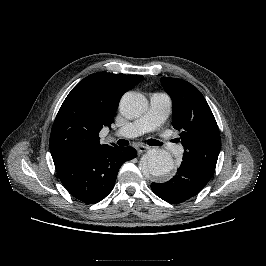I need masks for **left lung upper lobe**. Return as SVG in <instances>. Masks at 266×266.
<instances>
[{
	"instance_id": "left-lung-upper-lobe-1",
	"label": "left lung upper lobe",
	"mask_w": 266,
	"mask_h": 266,
	"mask_svg": "<svg viewBox=\"0 0 266 266\" xmlns=\"http://www.w3.org/2000/svg\"><path fill=\"white\" fill-rule=\"evenodd\" d=\"M161 83L172 99L173 127L181 131V144L185 149L182 162L205 174L213 175L221 149V139L207 101L187 81L163 77Z\"/></svg>"
}]
</instances>
